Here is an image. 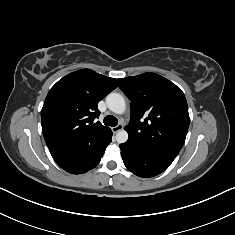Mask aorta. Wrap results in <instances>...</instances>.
Instances as JSON below:
<instances>
[{
	"label": "aorta",
	"mask_w": 235,
	"mask_h": 235,
	"mask_svg": "<svg viewBox=\"0 0 235 235\" xmlns=\"http://www.w3.org/2000/svg\"><path fill=\"white\" fill-rule=\"evenodd\" d=\"M106 104L108 108L116 113L123 114L126 110V103L124 97L119 93H110L106 97ZM128 140V133L126 130L122 129L116 134V141L118 143H125Z\"/></svg>",
	"instance_id": "762f6f07"
}]
</instances>
